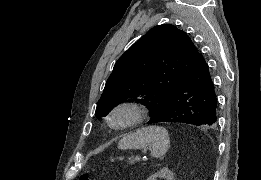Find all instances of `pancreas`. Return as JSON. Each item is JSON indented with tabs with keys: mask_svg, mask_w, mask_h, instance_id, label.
<instances>
[{
	"mask_svg": "<svg viewBox=\"0 0 261 180\" xmlns=\"http://www.w3.org/2000/svg\"><path fill=\"white\" fill-rule=\"evenodd\" d=\"M141 162H136L135 159L129 160V163H126V166H129V164H140Z\"/></svg>",
	"mask_w": 261,
	"mask_h": 180,
	"instance_id": "1",
	"label": "pancreas"
}]
</instances>
